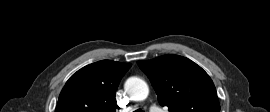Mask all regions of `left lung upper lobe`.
Masks as SVG:
<instances>
[{
  "label": "left lung upper lobe",
  "instance_id": "obj_1",
  "mask_svg": "<svg viewBox=\"0 0 270 112\" xmlns=\"http://www.w3.org/2000/svg\"><path fill=\"white\" fill-rule=\"evenodd\" d=\"M137 63L149 77L159 103L170 112H220L211 78L193 61L164 55Z\"/></svg>",
  "mask_w": 270,
  "mask_h": 112
}]
</instances>
